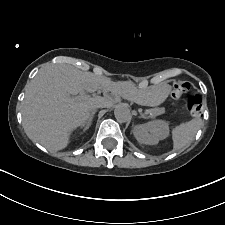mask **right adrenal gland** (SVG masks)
<instances>
[{
	"mask_svg": "<svg viewBox=\"0 0 225 225\" xmlns=\"http://www.w3.org/2000/svg\"><path fill=\"white\" fill-rule=\"evenodd\" d=\"M96 112H97V110H93V111L91 112L89 119H88L87 122L83 125V127H84L83 131H86L87 129H89V127L91 126L93 117H94V115H95Z\"/></svg>",
	"mask_w": 225,
	"mask_h": 225,
	"instance_id": "1",
	"label": "right adrenal gland"
}]
</instances>
